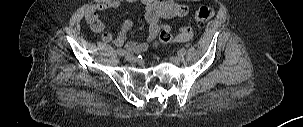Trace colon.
I'll return each mask as SVG.
<instances>
[{
	"label": "colon",
	"instance_id": "5ec220e1",
	"mask_svg": "<svg viewBox=\"0 0 303 127\" xmlns=\"http://www.w3.org/2000/svg\"><path fill=\"white\" fill-rule=\"evenodd\" d=\"M214 15V9L210 6H201L195 13V19L199 23H204L210 20ZM192 29L189 26H183L176 36H173L168 30H162L159 37L154 41L153 45L158 47L173 41H187L192 37Z\"/></svg>",
	"mask_w": 303,
	"mask_h": 127
}]
</instances>
